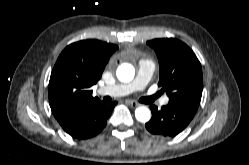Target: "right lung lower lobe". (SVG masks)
<instances>
[{
    "instance_id": "right-lung-lower-lobe-1",
    "label": "right lung lower lobe",
    "mask_w": 249,
    "mask_h": 165,
    "mask_svg": "<svg viewBox=\"0 0 249 165\" xmlns=\"http://www.w3.org/2000/svg\"><path fill=\"white\" fill-rule=\"evenodd\" d=\"M117 102L106 104L101 100L77 109L58 119L61 127L72 137L82 140L100 133Z\"/></svg>"
}]
</instances>
